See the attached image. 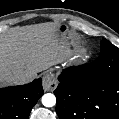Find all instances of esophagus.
<instances>
[{"label": "esophagus", "mask_w": 119, "mask_h": 119, "mask_svg": "<svg viewBox=\"0 0 119 119\" xmlns=\"http://www.w3.org/2000/svg\"><path fill=\"white\" fill-rule=\"evenodd\" d=\"M57 79L53 73H47L43 78V88L46 91H54L57 87Z\"/></svg>", "instance_id": "1"}]
</instances>
